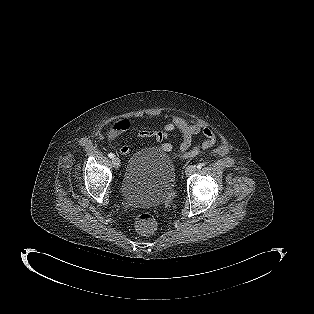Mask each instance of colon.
I'll use <instances>...</instances> for the list:
<instances>
[{"mask_svg": "<svg viewBox=\"0 0 314 314\" xmlns=\"http://www.w3.org/2000/svg\"><path fill=\"white\" fill-rule=\"evenodd\" d=\"M127 128L125 121L117 122L113 127V132L118 133ZM135 227L137 231L143 236H150L155 232L156 222L150 213H141L136 217Z\"/></svg>", "mask_w": 314, "mask_h": 314, "instance_id": "obj_1", "label": "colon"}]
</instances>
